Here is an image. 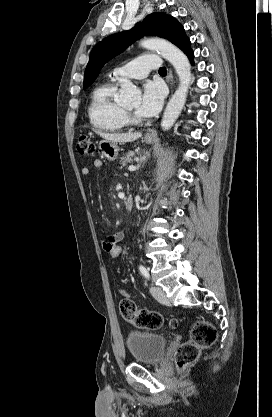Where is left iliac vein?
Wrapping results in <instances>:
<instances>
[{"label":"left iliac vein","mask_w":272,"mask_h":417,"mask_svg":"<svg viewBox=\"0 0 272 417\" xmlns=\"http://www.w3.org/2000/svg\"><path fill=\"white\" fill-rule=\"evenodd\" d=\"M150 292L157 301H159L161 303H168L169 302L165 291L161 287L152 286L150 288Z\"/></svg>","instance_id":"1"}]
</instances>
